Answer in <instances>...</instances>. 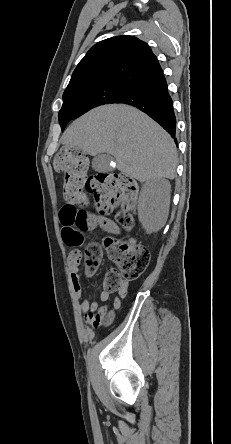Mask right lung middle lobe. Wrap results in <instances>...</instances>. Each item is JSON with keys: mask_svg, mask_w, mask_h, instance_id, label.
<instances>
[{"mask_svg": "<svg viewBox=\"0 0 231 444\" xmlns=\"http://www.w3.org/2000/svg\"><path fill=\"white\" fill-rule=\"evenodd\" d=\"M132 86L122 83H104L87 88L66 90L63 94V105L59 111V122L62 130L66 124L90 109L108 103H115L125 95Z\"/></svg>", "mask_w": 231, "mask_h": 444, "instance_id": "obj_1", "label": "right lung middle lobe"}]
</instances>
